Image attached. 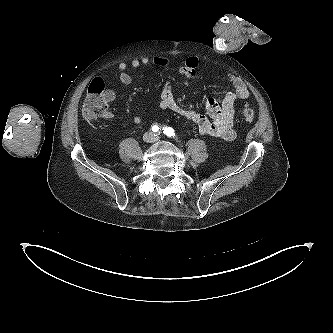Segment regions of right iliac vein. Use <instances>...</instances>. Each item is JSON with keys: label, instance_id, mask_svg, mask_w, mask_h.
<instances>
[{"label": "right iliac vein", "instance_id": "63e3f726", "mask_svg": "<svg viewBox=\"0 0 333 333\" xmlns=\"http://www.w3.org/2000/svg\"><path fill=\"white\" fill-rule=\"evenodd\" d=\"M143 139L144 141L146 142H149L152 140V135L150 133H146L144 136H143Z\"/></svg>", "mask_w": 333, "mask_h": 333}]
</instances>
